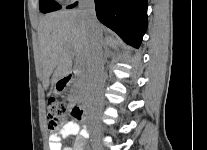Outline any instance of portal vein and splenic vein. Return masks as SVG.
<instances>
[{
    "mask_svg": "<svg viewBox=\"0 0 207 150\" xmlns=\"http://www.w3.org/2000/svg\"><path fill=\"white\" fill-rule=\"evenodd\" d=\"M72 54H74V52H72ZM77 64H78L79 66L83 65L82 61L79 60L78 58H77Z\"/></svg>",
    "mask_w": 207,
    "mask_h": 150,
    "instance_id": "obj_1",
    "label": "portal vein and splenic vein"
}]
</instances>
